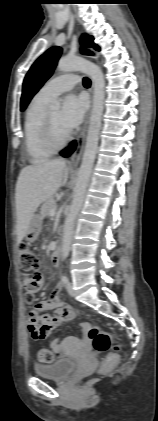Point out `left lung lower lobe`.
<instances>
[{"label": "left lung lower lobe", "instance_id": "1", "mask_svg": "<svg viewBox=\"0 0 158 421\" xmlns=\"http://www.w3.org/2000/svg\"><path fill=\"white\" fill-rule=\"evenodd\" d=\"M75 148H76V142L74 141L68 149L60 152V154L64 157H67L75 150Z\"/></svg>", "mask_w": 158, "mask_h": 421}]
</instances>
